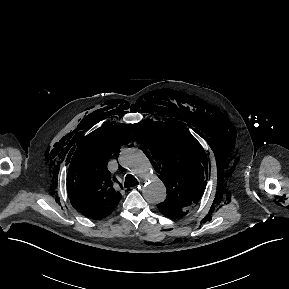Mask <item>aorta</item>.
Returning <instances> with one entry per match:
<instances>
[{"label":"aorta","mask_w":289,"mask_h":289,"mask_svg":"<svg viewBox=\"0 0 289 289\" xmlns=\"http://www.w3.org/2000/svg\"><path fill=\"white\" fill-rule=\"evenodd\" d=\"M120 164L144 181L143 196L152 204L161 203L166 199V187L157 176L146 155L139 149L128 148L119 156Z\"/></svg>","instance_id":"1"}]
</instances>
